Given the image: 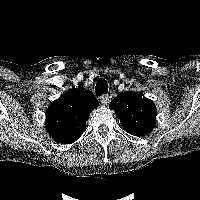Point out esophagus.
Listing matches in <instances>:
<instances>
[{
  "label": "esophagus",
  "mask_w": 200,
  "mask_h": 200,
  "mask_svg": "<svg viewBox=\"0 0 200 200\" xmlns=\"http://www.w3.org/2000/svg\"><path fill=\"white\" fill-rule=\"evenodd\" d=\"M100 102L103 104V105H107L109 103V96L108 94H102L100 96Z\"/></svg>",
  "instance_id": "obj_1"
}]
</instances>
